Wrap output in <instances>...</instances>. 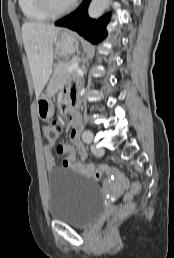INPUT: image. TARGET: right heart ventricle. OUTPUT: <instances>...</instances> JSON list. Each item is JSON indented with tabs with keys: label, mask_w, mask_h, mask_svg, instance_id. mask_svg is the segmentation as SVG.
I'll list each match as a JSON object with an SVG mask.
<instances>
[{
	"label": "right heart ventricle",
	"mask_w": 174,
	"mask_h": 258,
	"mask_svg": "<svg viewBox=\"0 0 174 258\" xmlns=\"http://www.w3.org/2000/svg\"><path fill=\"white\" fill-rule=\"evenodd\" d=\"M25 18L31 22H44L50 17L40 8L38 0H18Z\"/></svg>",
	"instance_id": "right-heart-ventricle-1"
}]
</instances>
